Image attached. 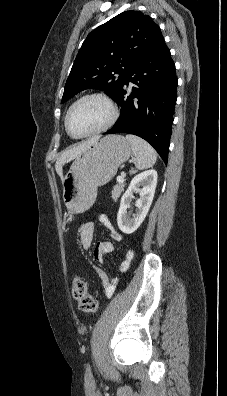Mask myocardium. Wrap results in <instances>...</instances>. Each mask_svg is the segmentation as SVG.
I'll return each instance as SVG.
<instances>
[{
  "label": "myocardium",
  "instance_id": "myocardium-1",
  "mask_svg": "<svg viewBox=\"0 0 227 396\" xmlns=\"http://www.w3.org/2000/svg\"><path fill=\"white\" fill-rule=\"evenodd\" d=\"M91 98H97L102 100L103 102L106 103V105L108 106L109 110H110V117L108 119V121L103 124L101 127L97 128L96 130L89 132L87 134H83V135H76L74 134L70 127H69V116L72 112V110L82 101L87 100V99H91ZM120 115V111L117 107V105L115 104V102L111 99V97H109L107 94L102 93V92H89L86 94H83L82 96H80L79 98H77L68 108L66 114H65V118H64V125H65V129L66 132L68 133V135L74 139H84V138H89V137H93L96 135H99L107 130H109L118 120Z\"/></svg>",
  "mask_w": 227,
  "mask_h": 396
}]
</instances>
